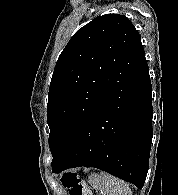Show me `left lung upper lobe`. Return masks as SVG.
I'll list each match as a JSON object with an SVG mask.
<instances>
[{
	"mask_svg": "<svg viewBox=\"0 0 178 195\" xmlns=\"http://www.w3.org/2000/svg\"><path fill=\"white\" fill-rule=\"evenodd\" d=\"M145 62L140 35L124 15L98 16L73 35L57 60L48 93L52 166L94 111Z\"/></svg>",
	"mask_w": 178,
	"mask_h": 195,
	"instance_id": "1",
	"label": "left lung upper lobe"
}]
</instances>
